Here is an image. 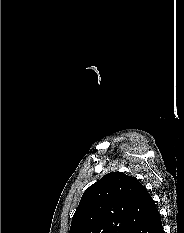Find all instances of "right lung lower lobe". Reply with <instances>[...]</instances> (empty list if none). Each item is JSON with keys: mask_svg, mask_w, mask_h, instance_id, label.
I'll return each mask as SVG.
<instances>
[{"mask_svg": "<svg viewBox=\"0 0 184 233\" xmlns=\"http://www.w3.org/2000/svg\"><path fill=\"white\" fill-rule=\"evenodd\" d=\"M129 233H164L158 209L155 208L146 218L132 228Z\"/></svg>", "mask_w": 184, "mask_h": 233, "instance_id": "obj_1", "label": "right lung lower lobe"}]
</instances>
